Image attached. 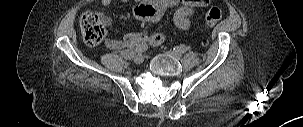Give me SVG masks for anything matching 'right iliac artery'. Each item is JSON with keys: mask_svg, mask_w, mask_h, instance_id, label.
I'll return each instance as SVG.
<instances>
[{"mask_svg": "<svg viewBox=\"0 0 303 127\" xmlns=\"http://www.w3.org/2000/svg\"><path fill=\"white\" fill-rule=\"evenodd\" d=\"M147 49H148V46L146 44H142L135 48V52L138 54H141V53L145 52Z\"/></svg>", "mask_w": 303, "mask_h": 127, "instance_id": "right-iliac-artery-1", "label": "right iliac artery"}]
</instances>
